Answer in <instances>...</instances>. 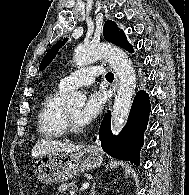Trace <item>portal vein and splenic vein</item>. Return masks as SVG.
<instances>
[{
    "mask_svg": "<svg viewBox=\"0 0 189 195\" xmlns=\"http://www.w3.org/2000/svg\"><path fill=\"white\" fill-rule=\"evenodd\" d=\"M88 186H89V183L83 184L82 187H81V190H84V189L88 188Z\"/></svg>",
    "mask_w": 189,
    "mask_h": 195,
    "instance_id": "obj_1",
    "label": "portal vein and splenic vein"
}]
</instances>
